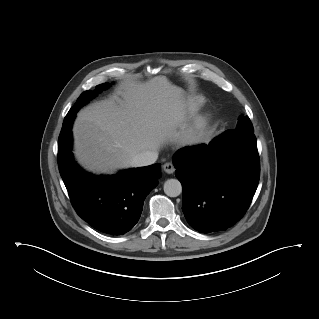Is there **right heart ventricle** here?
I'll list each match as a JSON object with an SVG mask.
<instances>
[{
    "mask_svg": "<svg viewBox=\"0 0 319 319\" xmlns=\"http://www.w3.org/2000/svg\"><path fill=\"white\" fill-rule=\"evenodd\" d=\"M204 98L201 96L193 97L187 106L190 114H196L204 105Z\"/></svg>",
    "mask_w": 319,
    "mask_h": 319,
    "instance_id": "e07e8e85",
    "label": "right heart ventricle"
}]
</instances>
